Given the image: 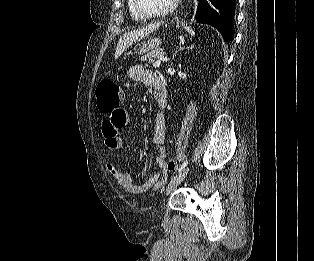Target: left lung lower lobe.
Listing matches in <instances>:
<instances>
[{"label": "left lung lower lobe", "mask_w": 314, "mask_h": 261, "mask_svg": "<svg viewBox=\"0 0 314 261\" xmlns=\"http://www.w3.org/2000/svg\"><path fill=\"white\" fill-rule=\"evenodd\" d=\"M235 0H201L197 7L198 23L215 27L226 42H231L234 36Z\"/></svg>", "instance_id": "1"}]
</instances>
